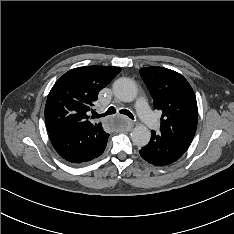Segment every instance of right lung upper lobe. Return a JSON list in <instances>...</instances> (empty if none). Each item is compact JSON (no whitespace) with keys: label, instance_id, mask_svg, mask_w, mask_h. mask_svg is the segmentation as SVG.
Returning <instances> with one entry per match:
<instances>
[{"label":"right lung upper lobe","instance_id":"cb5924a9","mask_svg":"<svg viewBox=\"0 0 234 234\" xmlns=\"http://www.w3.org/2000/svg\"><path fill=\"white\" fill-rule=\"evenodd\" d=\"M120 71V68L113 66H85L61 76L52 87L45 106L48 132L80 125L93 126L88 120L89 112L98 93Z\"/></svg>","mask_w":234,"mask_h":234}]
</instances>
